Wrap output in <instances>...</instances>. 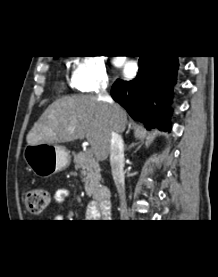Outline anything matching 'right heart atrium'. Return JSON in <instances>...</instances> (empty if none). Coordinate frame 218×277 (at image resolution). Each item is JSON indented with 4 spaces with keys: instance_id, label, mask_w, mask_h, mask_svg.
I'll list each match as a JSON object with an SVG mask.
<instances>
[{
    "instance_id": "d8ad5b80",
    "label": "right heart atrium",
    "mask_w": 218,
    "mask_h": 277,
    "mask_svg": "<svg viewBox=\"0 0 218 277\" xmlns=\"http://www.w3.org/2000/svg\"><path fill=\"white\" fill-rule=\"evenodd\" d=\"M109 83L105 57L86 54L76 64L70 84L80 92H92L106 88Z\"/></svg>"
}]
</instances>
